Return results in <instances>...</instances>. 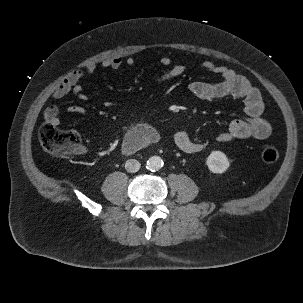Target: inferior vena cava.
<instances>
[{
    "mask_svg": "<svg viewBox=\"0 0 303 303\" xmlns=\"http://www.w3.org/2000/svg\"><path fill=\"white\" fill-rule=\"evenodd\" d=\"M141 164L136 159H129L125 163V169L128 172L134 173L140 169Z\"/></svg>",
    "mask_w": 303,
    "mask_h": 303,
    "instance_id": "inferior-vena-cava-1",
    "label": "inferior vena cava"
}]
</instances>
